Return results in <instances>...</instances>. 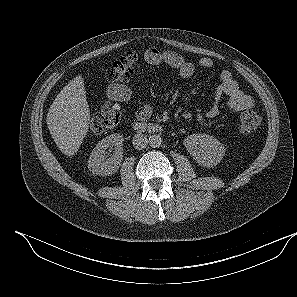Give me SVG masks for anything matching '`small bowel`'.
<instances>
[{"mask_svg":"<svg viewBox=\"0 0 297 297\" xmlns=\"http://www.w3.org/2000/svg\"><path fill=\"white\" fill-rule=\"evenodd\" d=\"M144 59L151 66L166 65L185 78L191 77L195 72V65L176 52L160 48H149L144 53ZM213 64L214 62L210 58H201L197 63L201 68H210ZM135 95L136 90L128 84H111L107 87V96L114 103L113 108H118L120 103L130 101ZM223 97L227 98V106L235 111L247 110L254 104L252 97L240 89L232 74L227 70L220 73V84L215 91V102L206 111L207 117L212 118L219 113L220 100ZM152 112V106L146 104L137 110L136 117L139 120H147ZM181 131L184 132L183 129Z\"/></svg>","mask_w":297,"mask_h":297,"instance_id":"obj_1","label":"small bowel"}]
</instances>
